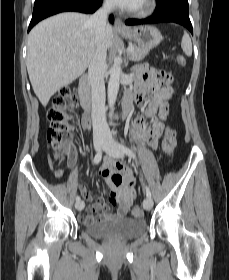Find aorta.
Listing matches in <instances>:
<instances>
[{"mask_svg": "<svg viewBox=\"0 0 229 280\" xmlns=\"http://www.w3.org/2000/svg\"><path fill=\"white\" fill-rule=\"evenodd\" d=\"M121 73H122L121 59L119 57H116L110 69V78L108 82V91H107L108 104L111 109L114 107L117 98Z\"/></svg>", "mask_w": 229, "mask_h": 280, "instance_id": "obj_1", "label": "aorta"}]
</instances>
